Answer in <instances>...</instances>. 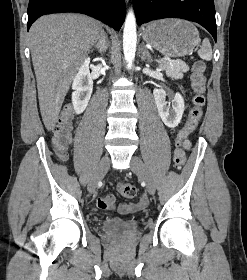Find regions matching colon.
Here are the masks:
<instances>
[{"label": "colon", "mask_w": 247, "mask_h": 280, "mask_svg": "<svg viewBox=\"0 0 247 280\" xmlns=\"http://www.w3.org/2000/svg\"><path fill=\"white\" fill-rule=\"evenodd\" d=\"M205 81V64L202 61H197L194 63L191 72V87L194 91L193 107L190 110L186 125L177 133L175 139L173 161L175 167L179 170L186 161V154L182 144L196 128L202 116V109L205 105ZM72 119V110L70 107H66L60 114L53 129V145L60 158H64L67 154V147L71 141ZM118 191L125 198H133L137 194L136 187L130 183H120Z\"/></svg>", "instance_id": "colon-1"}]
</instances>
